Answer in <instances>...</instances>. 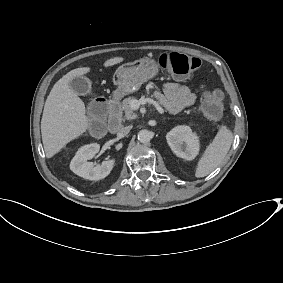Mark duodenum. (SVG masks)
Masks as SVG:
<instances>
[{
	"label": "duodenum",
	"mask_w": 283,
	"mask_h": 283,
	"mask_svg": "<svg viewBox=\"0 0 283 283\" xmlns=\"http://www.w3.org/2000/svg\"><path fill=\"white\" fill-rule=\"evenodd\" d=\"M105 109L104 106H101ZM109 120H108V130L112 133H116L121 129V110H120V100L118 97H114L109 102Z\"/></svg>",
	"instance_id": "duodenum-1"
}]
</instances>
